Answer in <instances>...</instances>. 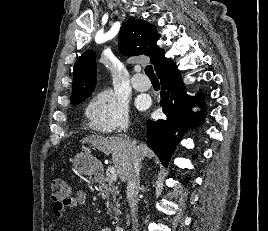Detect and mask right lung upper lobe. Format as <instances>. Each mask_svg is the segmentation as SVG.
I'll use <instances>...</instances> for the list:
<instances>
[{
  "label": "right lung upper lobe",
  "mask_w": 268,
  "mask_h": 231,
  "mask_svg": "<svg viewBox=\"0 0 268 231\" xmlns=\"http://www.w3.org/2000/svg\"><path fill=\"white\" fill-rule=\"evenodd\" d=\"M159 39L156 27L142 19H129L121 26L119 49L126 56L147 55L151 58L156 73L174 63L156 45ZM96 85L95 52L89 50L76 61L73 70L71 103L91 95Z\"/></svg>",
  "instance_id": "1"
}]
</instances>
